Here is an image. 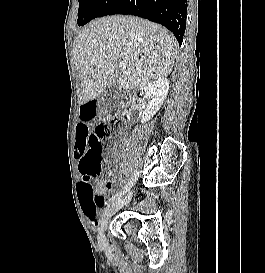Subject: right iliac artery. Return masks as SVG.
I'll use <instances>...</instances> for the list:
<instances>
[{"label": "right iliac artery", "instance_id": "obj_1", "mask_svg": "<svg viewBox=\"0 0 265 273\" xmlns=\"http://www.w3.org/2000/svg\"><path fill=\"white\" fill-rule=\"evenodd\" d=\"M137 175H138V172L136 170L135 173H134V176L131 178L130 182L119 193L112 196L108 203L109 204L114 203L115 201L119 200L122 195L127 193L130 190V188L133 186V184L136 182Z\"/></svg>", "mask_w": 265, "mask_h": 273}]
</instances>
